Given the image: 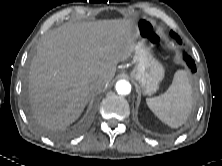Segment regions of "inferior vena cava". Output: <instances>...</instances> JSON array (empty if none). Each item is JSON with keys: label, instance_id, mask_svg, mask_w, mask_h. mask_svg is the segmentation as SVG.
Segmentation results:
<instances>
[{"label": "inferior vena cava", "instance_id": "obj_1", "mask_svg": "<svg viewBox=\"0 0 222 166\" xmlns=\"http://www.w3.org/2000/svg\"><path fill=\"white\" fill-rule=\"evenodd\" d=\"M105 85H106V83H105L104 81H102V80H97V81L93 84L92 88H93L94 91H100V90H102V89L104 88Z\"/></svg>", "mask_w": 222, "mask_h": 166}]
</instances>
